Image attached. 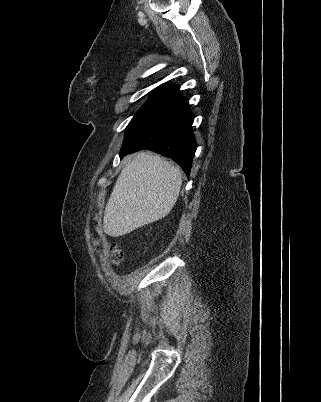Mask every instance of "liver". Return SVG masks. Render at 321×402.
Instances as JSON below:
<instances>
[{
    "label": "liver",
    "mask_w": 321,
    "mask_h": 402,
    "mask_svg": "<svg viewBox=\"0 0 321 402\" xmlns=\"http://www.w3.org/2000/svg\"><path fill=\"white\" fill-rule=\"evenodd\" d=\"M123 164L104 211V232L111 237L167 216L182 185L180 170L159 155L141 152Z\"/></svg>",
    "instance_id": "6515ba94"
}]
</instances>
